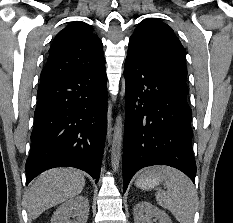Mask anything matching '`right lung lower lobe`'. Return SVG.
Returning <instances> with one entry per match:
<instances>
[{"label": "right lung lower lobe", "mask_w": 233, "mask_h": 223, "mask_svg": "<svg viewBox=\"0 0 233 223\" xmlns=\"http://www.w3.org/2000/svg\"><path fill=\"white\" fill-rule=\"evenodd\" d=\"M105 66L40 82L25 170L28 183L41 172L70 166L99 180L107 129Z\"/></svg>", "instance_id": "obj_1"}]
</instances>
